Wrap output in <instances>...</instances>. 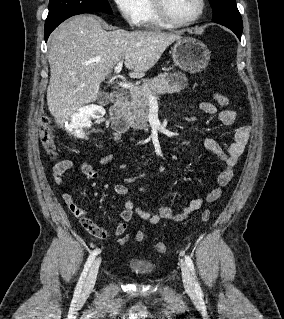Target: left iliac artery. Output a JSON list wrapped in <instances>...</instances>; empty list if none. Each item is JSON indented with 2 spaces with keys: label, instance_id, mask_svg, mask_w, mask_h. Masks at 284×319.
I'll return each instance as SVG.
<instances>
[{
  "label": "left iliac artery",
  "instance_id": "left-iliac-artery-1",
  "mask_svg": "<svg viewBox=\"0 0 284 319\" xmlns=\"http://www.w3.org/2000/svg\"><path fill=\"white\" fill-rule=\"evenodd\" d=\"M185 262H186L187 266L189 267V269H190V271H191V273H192V275H193L196 292H197L198 294H201L202 291H201L200 285H199V283L197 282L196 276H195L194 264H193L191 258H190L189 256H187V255H185Z\"/></svg>",
  "mask_w": 284,
  "mask_h": 319
}]
</instances>
